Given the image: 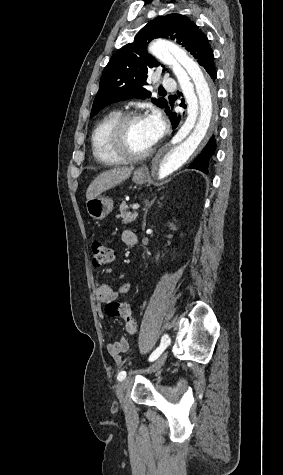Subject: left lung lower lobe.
I'll list each match as a JSON object with an SVG mask.
<instances>
[{"instance_id":"left-lung-lower-lobe-1","label":"left lung lower lobe","mask_w":283,"mask_h":475,"mask_svg":"<svg viewBox=\"0 0 283 475\" xmlns=\"http://www.w3.org/2000/svg\"><path fill=\"white\" fill-rule=\"evenodd\" d=\"M203 66L210 77L215 80L217 75H216V69L214 67V55L213 52L210 54V56L207 58V60L201 65ZM166 112L169 114L171 121L173 123V128H176L180 116H177L176 113L172 112L169 107H166ZM215 140L211 138V140L208 142L206 147L203 149L201 154L190 164L189 168L190 169H198L200 171H203L204 173H207V164L210 156L213 154L215 151Z\"/></svg>"}]
</instances>
